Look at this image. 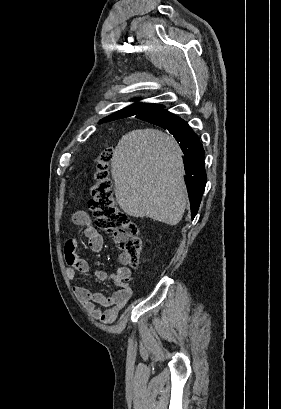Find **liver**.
Masks as SVG:
<instances>
[{
	"mask_svg": "<svg viewBox=\"0 0 281 409\" xmlns=\"http://www.w3.org/2000/svg\"><path fill=\"white\" fill-rule=\"evenodd\" d=\"M111 166L116 200L126 215L167 225L181 221L187 188L175 138L155 128L131 130L120 138Z\"/></svg>",
	"mask_w": 281,
	"mask_h": 409,
	"instance_id": "1",
	"label": "liver"
}]
</instances>
